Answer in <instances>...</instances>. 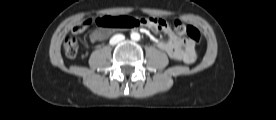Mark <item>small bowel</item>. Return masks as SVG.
Masks as SVG:
<instances>
[{
  "label": "small bowel",
  "mask_w": 276,
  "mask_h": 120,
  "mask_svg": "<svg viewBox=\"0 0 276 120\" xmlns=\"http://www.w3.org/2000/svg\"><path fill=\"white\" fill-rule=\"evenodd\" d=\"M148 26L155 31H160L167 35L168 40H159L156 42V46L165 52L171 59L181 61L186 64H190L195 61V46L192 41L179 38L166 22L160 29H157L152 25ZM73 31L77 33L82 30L75 27ZM105 37L106 33L99 30H95L90 34V40L94 43L103 40Z\"/></svg>",
  "instance_id": "small-bowel-1"
}]
</instances>
